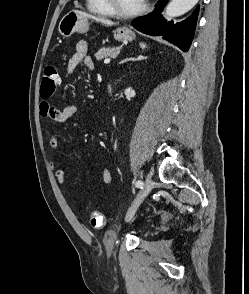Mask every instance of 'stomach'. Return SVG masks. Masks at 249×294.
<instances>
[{"label":"stomach","instance_id":"0dacf381","mask_svg":"<svg viewBox=\"0 0 249 294\" xmlns=\"http://www.w3.org/2000/svg\"><path fill=\"white\" fill-rule=\"evenodd\" d=\"M89 19L80 15L76 10L69 11L59 22L58 31L68 38L74 33H85L89 29ZM117 41H132L135 38L134 32L128 27H119L113 31Z\"/></svg>","mask_w":249,"mask_h":294}]
</instances>
